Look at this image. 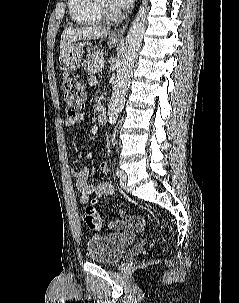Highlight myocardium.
<instances>
[{
	"mask_svg": "<svg viewBox=\"0 0 239 303\" xmlns=\"http://www.w3.org/2000/svg\"><path fill=\"white\" fill-rule=\"evenodd\" d=\"M96 1L103 16H106L110 19H114L118 17L119 15L118 11L114 8V6L110 3L109 0H96Z\"/></svg>",
	"mask_w": 239,
	"mask_h": 303,
	"instance_id": "f54148a6",
	"label": "myocardium"
}]
</instances>
